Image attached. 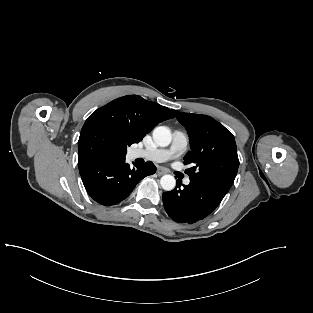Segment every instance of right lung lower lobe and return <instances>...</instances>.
<instances>
[{
	"label": "right lung lower lobe",
	"mask_w": 313,
	"mask_h": 313,
	"mask_svg": "<svg viewBox=\"0 0 313 313\" xmlns=\"http://www.w3.org/2000/svg\"><path fill=\"white\" fill-rule=\"evenodd\" d=\"M130 167L122 160L94 161L79 166L87 193L98 203L111 206L125 198L144 177L152 175L156 167L152 162Z\"/></svg>",
	"instance_id": "obj_1"
}]
</instances>
